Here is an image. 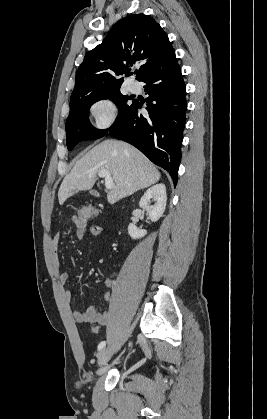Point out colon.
<instances>
[{
    "label": "colon",
    "instance_id": "5ec220e1",
    "mask_svg": "<svg viewBox=\"0 0 267 419\" xmlns=\"http://www.w3.org/2000/svg\"><path fill=\"white\" fill-rule=\"evenodd\" d=\"M96 209L92 206H85L77 212V222L80 224L86 223L90 218L95 216ZM94 332H98V327H93Z\"/></svg>",
    "mask_w": 267,
    "mask_h": 419
}]
</instances>
